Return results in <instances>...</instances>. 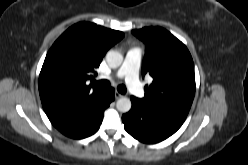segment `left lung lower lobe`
<instances>
[{
	"label": "left lung lower lobe",
	"mask_w": 248,
	"mask_h": 165,
	"mask_svg": "<svg viewBox=\"0 0 248 165\" xmlns=\"http://www.w3.org/2000/svg\"><path fill=\"white\" fill-rule=\"evenodd\" d=\"M132 108L122 116L125 130L143 143H157L174 134L185 119L148 107L131 97Z\"/></svg>",
	"instance_id": "left-lung-lower-lobe-1"
}]
</instances>
